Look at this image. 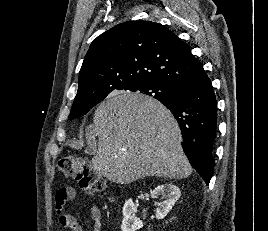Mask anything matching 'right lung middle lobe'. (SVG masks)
Masks as SVG:
<instances>
[{
  "instance_id": "obj_1",
  "label": "right lung middle lobe",
  "mask_w": 268,
  "mask_h": 231,
  "mask_svg": "<svg viewBox=\"0 0 268 231\" xmlns=\"http://www.w3.org/2000/svg\"><path fill=\"white\" fill-rule=\"evenodd\" d=\"M132 92H140L149 96H152L156 99H164L173 95V88L160 84V83H145L132 88L127 89ZM101 102V101H99ZM99 102L88 104V105H79L73 104L71 113L68 116L69 120L81 117L85 115L92 107H94Z\"/></svg>"
}]
</instances>
